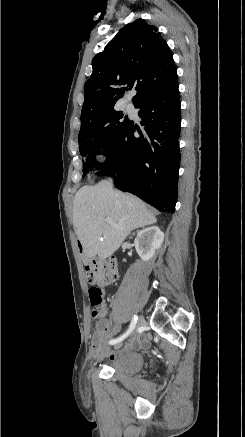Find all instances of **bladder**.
<instances>
[{
	"mask_svg": "<svg viewBox=\"0 0 245 437\" xmlns=\"http://www.w3.org/2000/svg\"><path fill=\"white\" fill-rule=\"evenodd\" d=\"M144 365V355L138 352L119 354L109 366L116 373L131 375L138 372Z\"/></svg>",
	"mask_w": 245,
	"mask_h": 437,
	"instance_id": "bladder-1",
	"label": "bladder"
}]
</instances>
